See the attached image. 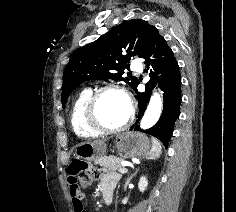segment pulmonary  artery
Masks as SVG:
<instances>
[{"label": "pulmonary artery", "mask_w": 236, "mask_h": 212, "mask_svg": "<svg viewBox=\"0 0 236 212\" xmlns=\"http://www.w3.org/2000/svg\"><path fill=\"white\" fill-rule=\"evenodd\" d=\"M131 67L133 70L140 72L142 70V64L138 61H133L131 63Z\"/></svg>", "instance_id": "1"}]
</instances>
